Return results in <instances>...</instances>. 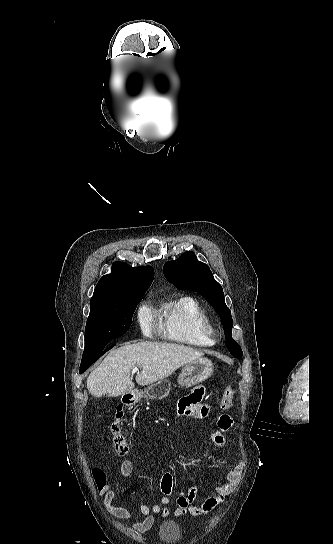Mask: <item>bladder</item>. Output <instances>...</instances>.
Here are the masks:
<instances>
[{
	"mask_svg": "<svg viewBox=\"0 0 333 544\" xmlns=\"http://www.w3.org/2000/svg\"><path fill=\"white\" fill-rule=\"evenodd\" d=\"M159 537L166 544H174L181 537L179 525L172 520L164 521L160 526Z\"/></svg>",
	"mask_w": 333,
	"mask_h": 544,
	"instance_id": "bladder-1",
	"label": "bladder"
}]
</instances>
